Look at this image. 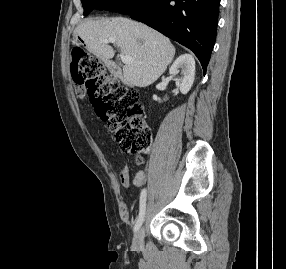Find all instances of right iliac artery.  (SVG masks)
<instances>
[{"label":"right iliac artery","instance_id":"right-iliac-artery-1","mask_svg":"<svg viewBox=\"0 0 286 269\" xmlns=\"http://www.w3.org/2000/svg\"><path fill=\"white\" fill-rule=\"evenodd\" d=\"M146 197H147V191L146 189H143L140 194V207H139V215L137 218V222L134 226V232L138 231L139 228L141 227L143 221H144V216L146 212Z\"/></svg>","mask_w":286,"mask_h":269}]
</instances>
